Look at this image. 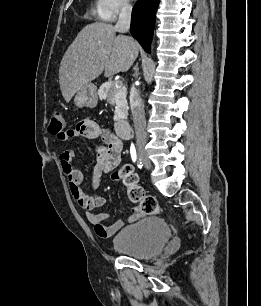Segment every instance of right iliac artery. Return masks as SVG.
<instances>
[{
  "mask_svg": "<svg viewBox=\"0 0 261 306\" xmlns=\"http://www.w3.org/2000/svg\"><path fill=\"white\" fill-rule=\"evenodd\" d=\"M130 154H131V158H132L133 162H136V160H137V153H136V149H135V146H134L133 143L131 144V147H130ZM142 166H143L142 162H140L138 167L141 168Z\"/></svg>",
  "mask_w": 261,
  "mask_h": 306,
  "instance_id": "right-iliac-artery-1",
  "label": "right iliac artery"
}]
</instances>
